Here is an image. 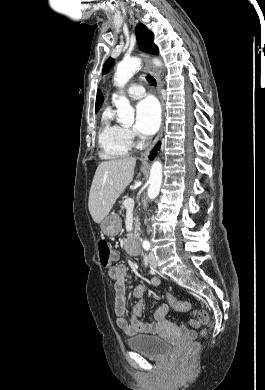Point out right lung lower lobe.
I'll return each instance as SVG.
<instances>
[{"instance_id": "obj_1", "label": "right lung lower lobe", "mask_w": 265, "mask_h": 390, "mask_svg": "<svg viewBox=\"0 0 265 390\" xmlns=\"http://www.w3.org/2000/svg\"><path fill=\"white\" fill-rule=\"evenodd\" d=\"M159 147H160V143H158V144L155 146V148L153 149V151L151 152V155L149 156V158H150L151 160L153 159V157L156 156V151H157V149H159Z\"/></svg>"}]
</instances>
